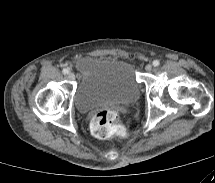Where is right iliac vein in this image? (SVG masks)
Wrapping results in <instances>:
<instances>
[{
  "label": "right iliac vein",
  "mask_w": 215,
  "mask_h": 183,
  "mask_svg": "<svg viewBox=\"0 0 215 183\" xmlns=\"http://www.w3.org/2000/svg\"><path fill=\"white\" fill-rule=\"evenodd\" d=\"M68 79H69V80H74V79H75L74 73L70 72V73L68 74Z\"/></svg>",
  "instance_id": "1"
}]
</instances>
